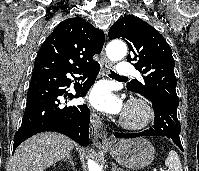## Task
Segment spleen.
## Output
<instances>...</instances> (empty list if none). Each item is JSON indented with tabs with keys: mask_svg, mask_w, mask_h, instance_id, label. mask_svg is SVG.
<instances>
[{
	"mask_svg": "<svg viewBox=\"0 0 199 171\" xmlns=\"http://www.w3.org/2000/svg\"><path fill=\"white\" fill-rule=\"evenodd\" d=\"M165 165L168 171H183L178 154L171 150L165 160Z\"/></svg>",
	"mask_w": 199,
	"mask_h": 171,
	"instance_id": "3e777b00",
	"label": "spleen"
}]
</instances>
